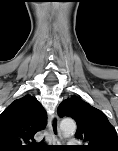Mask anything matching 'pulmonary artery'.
Here are the masks:
<instances>
[{"label":"pulmonary artery","mask_w":118,"mask_h":151,"mask_svg":"<svg viewBox=\"0 0 118 151\" xmlns=\"http://www.w3.org/2000/svg\"><path fill=\"white\" fill-rule=\"evenodd\" d=\"M69 143L73 145V144H77L78 142L75 139H72L69 141Z\"/></svg>","instance_id":"obj_1"}]
</instances>
